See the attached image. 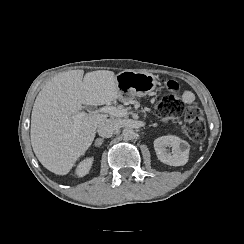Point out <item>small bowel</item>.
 Listing matches in <instances>:
<instances>
[{
	"label": "small bowel",
	"mask_w": 244,
	"mask_h": 244,
	"mask_svg": "<svg viewBox=\"0 0 244 244\" xmlns=\"http://www.w3.org/2000/svg\"><path fill=\"white\" fill-rule=\"evenodd\" d=\"M182 100L186 103V104H190L195 100V95L193 92L186 90L182 93Z\"/></svg>",
	"instance_id": "c3829d8e"
}]
</instances>
